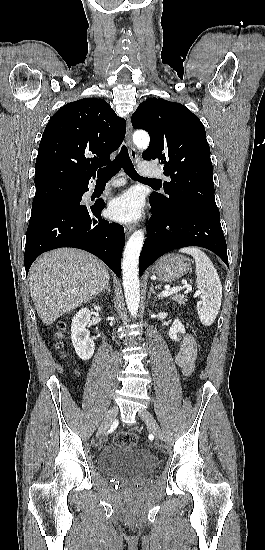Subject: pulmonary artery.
Here are the masks:
<instances>
[{
	"label": "pulmonary artery",
	"mask_w": 265,
	"mask_h": 550,
	"mask_svg": "<svg viewBox=\"0 0 265 550\" xmlns=\"http://www.w3.org/2000/svg\"><path fill=\"white\" fill-rule=\"evenodd\" d=\"M144 165H145L144 162L140 163V170L143 171L145 175L152 176V177H162V174L159 170L145 169ZM122 184H124V181H114V182L110 183V186L117 187V186H120Z\"/></svg>",
	"instance_id": "pulmonary-artery-1"
}]
</instances>
